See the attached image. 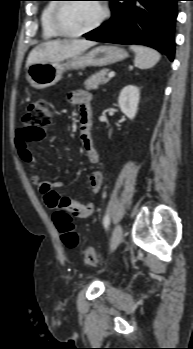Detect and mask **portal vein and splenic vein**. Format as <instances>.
Instances as JSON below:
<instances>
[{
    "label": "portal vein and splenic vein",
    "mask_w": 193,
    "mask_h": 349,
    "mask_svg": "<svg viewBox=\"0 0 193 349\" xmlns=\"http://www.w3.org/2000/svg\"><path fill=\"white\" fill-rule=\"evenodd\" d=\"M115 76V73L114 72H110L109 74H108V78H112V77H114Z\"/></svg>",
    "instance_id": "1"
}]
</instances>
